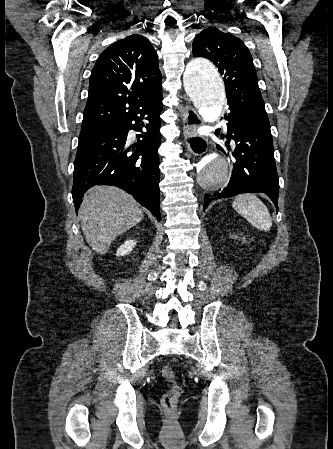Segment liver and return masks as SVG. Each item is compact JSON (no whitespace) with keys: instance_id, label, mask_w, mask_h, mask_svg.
Instances as JSON below:
<instances>
[{"instance_id":"1","label":"liver","mask_w":333,"mask_h":449,"mask_svg":"<svg viewBox=\"0 0 333 449\" xmlns=\"http://www.w3.org/2000/svg\"><path fill=\"white\" fill-rule=\"evenodd\" d=\"M143 216L136 200L114 186L91 188L79 209L86 241L101 255L108 252L115 238L137 225Z\"/></svg>"}]
</instances>
